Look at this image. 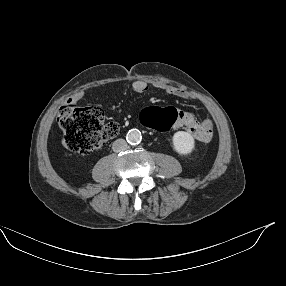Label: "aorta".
Segmentation results:
<instances>
[{
    "mask_svg": "<svg viewBox=\"0 0 286 286\" xmlns=\"http://www.w3.org/2000/svg\"><path fill=\"white\" fill-rule=\"evenodd\" d=\"M127 142L131 145H137L141 142L142 140V135L141 132L138 129H131L127 133Z\"/></svg>",
    "mask_w": 286,
    "mask_h": 286,
    "instance_id": "aorta-1",
    "label": "aorta"
}]
</instances>
